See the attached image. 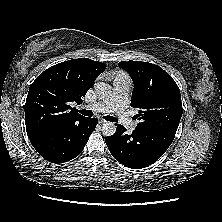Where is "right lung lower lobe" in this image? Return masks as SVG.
Instances as JSON below:
<instances>
[{
	"mask_svg": "<svg viewBox=\"0 0 222 222\" xmlns=\"http://www.w3.org/2000/svg\"><path fill=\"white\" fill-rule=\"evenodd\" d=\"M96 125V118L85 117L78 122L54 127L30 142L47 161L55 164L67 162L83 151Z\"/></svg>",
	"mask_w": 222,
	"mask_h": 222,
	"instance_id": "right-lung-lower-lobe-1",
	"label": "right lung lower lobe"
}]
</instances>
